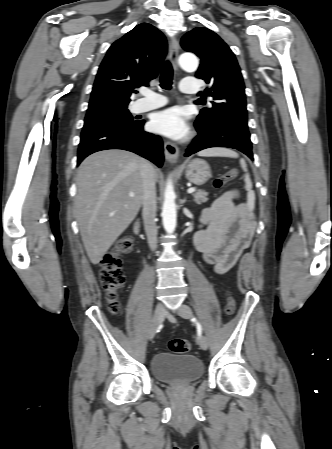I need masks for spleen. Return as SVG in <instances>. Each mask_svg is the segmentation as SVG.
<instances>
[{
	"mask_svg": "<svg viewBox=\"0 0 332 449\" xmlns=\"http://www.w3.org/2000/svg\"><path fill=\"white\" fill-rule=\"evenodd\" d=\"M200 156L206 157H232L237 158L238 154L235 151L225 148H211L199 153ZM240 165L242 169L247 172V165L244 159L240 160ZM245 189L247 190V206L249 212H253L255 207V193L252 190V182L248 173H246L245 178Z\"/></svg>",
	"mask_w": 332,
	"mask_h": 449,
	"instance_id": "obj_1",
	"label": "spleen"
}]
</instances>
